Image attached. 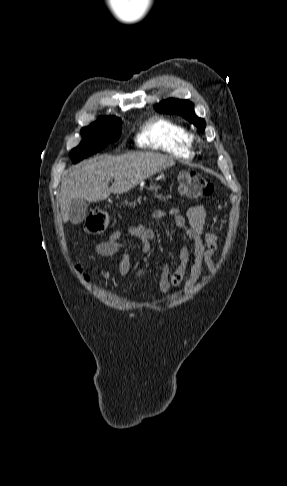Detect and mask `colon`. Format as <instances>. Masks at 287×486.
I'll use <instances>...</instances> for the list:
<instances>
[{"instance_id":"colon-1","label":"colon","mask_w":287,"mask_h":486,"mask_svg":"<svg viewBox=\"0 0 287 486\" xmlns=\"http://www.w3.org/2000/svg\"><path fill=\"white\" fill-rule=\"evenodd\" d=\"M181 192L191 198L210 197L214 193L211 182L194 172H184L180 175ZM109 218L102 209L92 211L85 220L84 229L90 234H100L108 227Z\"/></svg>"}]
</instances>
